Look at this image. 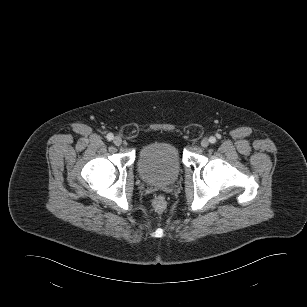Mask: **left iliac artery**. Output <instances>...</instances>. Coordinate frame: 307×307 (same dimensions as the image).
<instances>
[{
  "label": "left iliac artery",
  "mask_w": 307,
  "mask_h": 307,
  "mask_svg": "<svg viewBox=\"0 0 307 307\" xmlns=\"http://www.w3.org/2000/svg\"><path fill=\"white\" fill-rule=\"evenodd\" d=\"M209 142L212 143V144L215 143V142H216V138L213 137V136L210 137V138H209Z\"/></svg>",
  "instance_id": "left-iliac-artery-1"
}]
</instances>
